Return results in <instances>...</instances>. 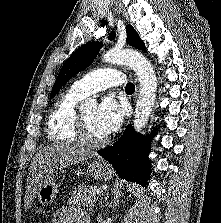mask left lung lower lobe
Wrapping results in <instances>:
<instances>
[{
	"instance_id": "0a47b994",
	"label": "left lung lower lobe",
	"mask_w": 221,
	"mask_h": 223,
	"mask_svg": "<svg viewBox=\"0 0 221 223\" xmlns=\"http://www.w3.org/2000/svg\"><path fill=\"white\" fill-rule=\"evenodd\" d=\"M154 135L155 132L150 138L142 137L129 125L118 142L97 153L112 164L120 178L146 186L151 167L149 140Z\"/></svg>"
}]
</instances>
